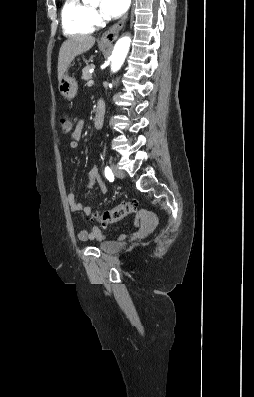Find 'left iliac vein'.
Instances as JSON below:
<instances>
[{"label": "left iliac vein", "mask_w": 254, "mask_h": 397, "mask_svg": "<svg viewBox=\"0 0 254 397\" xmlns=\"http://www.w3.org/2000/svg\"><path fill=\"white\" fill-rule=\"evenodd\" d=\"M112 170H113L115 177L120 178V179H123L125 177L124 172L121 169H119L116 165L112 166Z\"/></svg>", "instance_id": "4c4485c4"}]
</instances>
